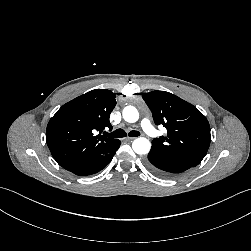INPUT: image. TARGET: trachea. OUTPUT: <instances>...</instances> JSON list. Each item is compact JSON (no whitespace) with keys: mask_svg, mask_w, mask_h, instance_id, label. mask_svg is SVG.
<instances>
[{"mask_svg":"<svg viewBox=\"0 0 251 251\" xmlns=\"http://www.w3.org/2000/svg\"><path fill=\"white\" fill-rule=\"evenodd\" d=\"M127 135V133L123 130V129H117L112 133H106V136L108 137H114V138H122L125 137ZM128 136L130 137H138L140 136V132L138 131H130L128 133Z\"/></svg>","mask_w":251,"mask_h":251,"instance_id":"1","label":"trachea"}]
</instances>
